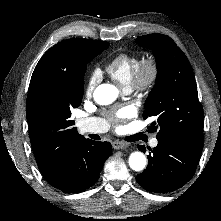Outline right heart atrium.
<instances>
[{
	"label": "right heart atrium",
	"mask_w": 221,
	"mask_h": 221,
	"mask_svg": "<svg viewBox=\"0 0 221 221\" xmlns=\"http://www.w3.org/2000/svg\"><path fill=\"white\" fill-rule=\"evenodd\" d=\"M98 79H99V76L96 71L90 74L89 79L87 81V85H86V93L88 95L93 92L95 86L97 85Z\"/></svg>",
	"instance_id": "obj_1"
}]
</instances>
